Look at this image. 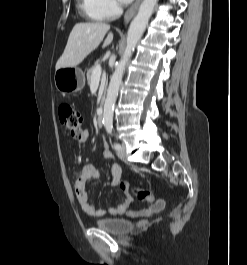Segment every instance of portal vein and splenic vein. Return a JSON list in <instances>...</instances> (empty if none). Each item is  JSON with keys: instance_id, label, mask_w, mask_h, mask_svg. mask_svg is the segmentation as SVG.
<instances>
[{"instance_id": "1", "label": "portal vein and splenic vein", "mask_w": 247, "mask_h": 265, "mask_svg": "<svg viewBox=\"0 0 247 265\" xmlns=\"http://www.w3.org/2000/svg\"><path fill=\"white\" fill-rule=\"evenodd\" d=\"M102 70L100 66H97L92 73V80H99Z\"/></svg>"}]
</instances>
